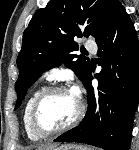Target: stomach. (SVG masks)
Here are the masks:
<instances>
[{"instance_id":"1","label":"stomach","mask_w":139,"mask_h":150,"mask_svg":"<svg viewBox=\"0 0 139 150\" xmlns=\"http://www.w3.org/2000/svg\"><path fill=\"white\" fill-rule=\"evenodd\" d=\"M49 150H91L85 146L75 145V144H64L58 148H52Z\"/></svg>"}]
</instances>
